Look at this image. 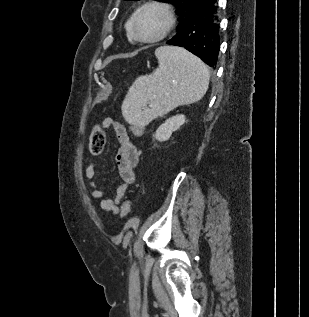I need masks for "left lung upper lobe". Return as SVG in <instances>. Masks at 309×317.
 Returning a JSON list of instances; mask_svg holds the SVG:
<instances>
[{"instance_id":"1","label":"left lung upper lobe","mask_w":309,"mask_h":317,"mask_svg":"<svg viewBox=\"0 0 309 317\" xmlns=\"http://www.w3.org/2000/svg\"><path fill=\"white\" fill-rule=\"evenodd\" d=\"M137 1V0H134ZM168 2L176 7V14L179 16V26L177 32L181 31L191 14L208 0H159Z\"/></svg>"}]
</instances>
